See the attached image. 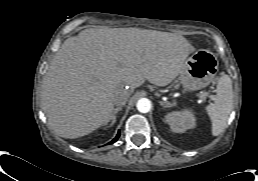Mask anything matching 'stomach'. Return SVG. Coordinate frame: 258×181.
I'll use <instances>...</instances> for the list:
<instances>
[{
	"mask_svg": "<svg viewBox=\"0 0 258 181\" xmlns=\"http://www.w3.org/2000/svg\"><path fill=\"white\" fill-rule=\"evenodd\" d=\"M217 71L215 55L209 50L200 49L185 60L179 81L185 91L199 90L213 81Z\"/></svg>",
	"mask_w": 258,
	"mask_h": 181,
	"instance_id": "1",
	"label": "stomach"
}]
</instances>
